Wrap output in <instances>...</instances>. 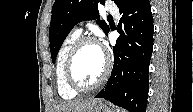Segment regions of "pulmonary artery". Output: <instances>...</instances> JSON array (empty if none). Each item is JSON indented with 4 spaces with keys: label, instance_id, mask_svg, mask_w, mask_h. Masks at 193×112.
<instances>
[{
    "label": "pulmonary artery",
    "instance_id": "obj_1",
    "mask_svg": "<svg viewBox=\"0 0 193 112\" xmlns=\"http://www.w3.org/2000/svg\"><path fill=\"white\" fill-rule=\"evenodd\" d=\"M107 11L113 16H118V8L113 4H108L106 6ZM83 30V22L79 23L75 29V32L81 33Z\"/></svg>",
    "mask_w": 193,
    "mask_h": 112
}]
</instances>
